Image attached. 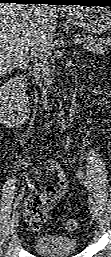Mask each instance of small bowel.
Returning a JSON list of instances; mask_svg holds the SVG:
<instances>
[{"instance_id":"c3829d8e","label":"small bowel","mask_w":111,"mask_h":257,"mask_svg":"<svg viewBox=\"0 0 111 257\" xmlns=\"http://www.w3.org/2000/svg\"><path fill=\"white\" fill-rule=\"evenodd\" d=\"M46 169L57 175L55 184H48L43 194H33L25 203L24 218L33 229H38L46 219L47 210L55 206L68 191L65 172L59 162L48 160Z\"/></svg>"}]
</instances>
